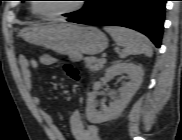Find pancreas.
Returning a JSON list of instances; mask_svg holds the SVG:
<instances>
[{
	"mask_svg": "<svg viewBox=\"0 0 182 140\" xmlns=\"http://www.w3.org/2000/svg\"><path fill=\"white\" fill-rule=\"evenodd\" d=\"M105 62H102L101 59H97L96 57H86L85 58V66L90 71H98L104 66Z\"/></svg>",
	"mask_w": 182,
	"mask_h": 140,
	"instance_id": "obj_1",
	"label": "pancreas"
}]
</instances>
